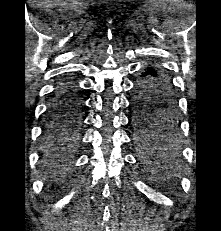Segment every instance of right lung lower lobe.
Returning <instances> with one entry per match:
<instances>
[{"label":"right lung lower lobe","mask_w":221,"mask_h":231,"mask_svg":"<svg viewBox=\"0 0 221 231\" xmlns=\"http://www.w3.org/2000/svg\"><path fill=\"white\" fill-rule=\"evenodd\" d=\"M81 95L79 91L77 90L75 84L73 83H64L60 84L53 96V99L51 102L59 101L61 103L65 102H78L81 100Z\"/></svg>","instance_id":"1"}]
</instances>
